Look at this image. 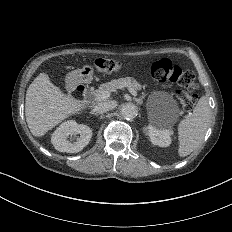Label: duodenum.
<instances>
[{
	"instance_id": "duodenum-1",
	"label": "duodenum",
	"mask_w": 232,
	"mask_h": 232,
	"mask_svg": "<svg viewBox=\"0 0 232 232\" xmlns=\"http://www.w3.org/2000/svg\"><path fill=\"white\" fill-rule=\"evenodd\" d=\"M70 90L73 94V96L79 100L83 101L87 94V86L80 81L79 79H74L69 84Z\"/></svg>"
}]
</instances>
